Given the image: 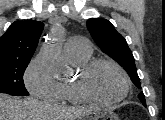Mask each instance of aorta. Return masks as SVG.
<instances>
[{"mask_svg": "<svg viewBox=\"0 0 165 120\" xmlns=\"http://www.w3.org/2000/svg\"><path fill=\"white\" fill-rule=\"evenodd\" d=\"M62 35L61 26H57L51 39L44 44L40 54L46 63L50 65L52 70L59 74L64 70L65 62L61 56L60 37Z\"/></svg>", "mask_w": 165, "mask_h": 120, "instance_id": "aorta-1", "label": "aorta"}]
</instances>
